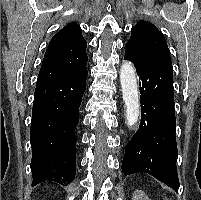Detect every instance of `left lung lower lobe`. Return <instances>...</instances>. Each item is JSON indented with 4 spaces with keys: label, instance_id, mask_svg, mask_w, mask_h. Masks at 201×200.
Listing matches in <instances>:
<instances>
[{
    "label": "left lung lower lobe",
    "instance_id": "1",
    "mask_svg": "<svg viewBox=\"0 0 201 200\" xmlns=\"http://www.w3.org/2000/svg\"><path fill=\"white\" fill-rule=\"evenodd\" d=\"M134 65L139 76L141 123L126 145L122 172L148 173L178 191L172 66Z\"/></svg>",
    "mask_w": 201,
    "mask_h": 200
}]
</instances>
